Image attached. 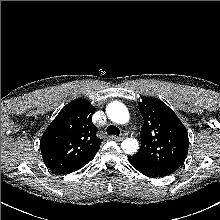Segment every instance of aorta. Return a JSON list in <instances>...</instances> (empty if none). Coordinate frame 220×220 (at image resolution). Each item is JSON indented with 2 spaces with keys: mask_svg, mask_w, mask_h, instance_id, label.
I'll use <instances>...</instances> for the list:
<instances>
[{
  "mask_svg": "<svg viewBox=\"0 0 220 220\" xmlns=\"http://www.w3.org/2000/svg\"><path fill=\"white\" fill-rule=\"evenodd\" d=\"M106 113L111 121L118 124H126L130 119L127 107L118 101L108 104ZM121 148L126 154L133 155L138 151L139 143L134 138H128L121 143Z\"/></svg>",
  "mask_w": 220,
  "mask_h": 220,
  "instance_id": "obj_1",
  "label": "aorta"
}]
</instances>
